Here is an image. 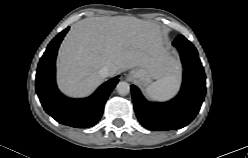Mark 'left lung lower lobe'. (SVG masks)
Wrapping results in <instances>:
<instances>
[{"label": "left lung lower lobe", "mask_w": 248, "mask_h": 158, "mask_svg": "<svg viewBox=\"0 0 248 158\" xmlns=\"http://www.w3.org/2000/svg\"><path fill=\"white\" fill-rule=\"evenodd\" d=\"M184 68L179 94L169 102H148L132 85L134 109L139 122L149 130H174L188 125L197 115L205 96V74L193 44L186 38L174 40Z\"/></svg>", "instance_id": "0a47b994"}]
</instances>
